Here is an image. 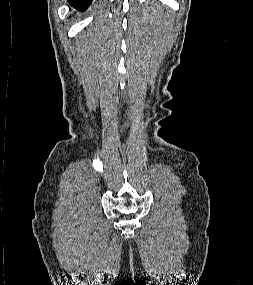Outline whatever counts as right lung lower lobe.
<instances>
[{
  "mask_svg": "<svg viewBox=\"0 0 253 285\" xmlns=\"http://www.w3.org/2000/svg\"><path fill=\"white\" fill-rule=\"evenodd\" d=\"M92 0H68L69 4L79 11H84Z\"/></svg>",
  "mask_w": 253,
  "mask_h": 285,
  "instance_id": "right-lung-lower-lobe-1",
  "label": "right lung lower lobe"
}]
</instances>
